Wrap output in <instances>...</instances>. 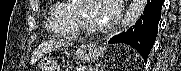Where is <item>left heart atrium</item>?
Returning <instances> with one entry per match:
<instances>
[{"mask_svg": "<svg viewBox=\"0 0 181 71\" xmlns=\"http://www.w3.org/2000/svg\"><path fill=\"white\" fill-rule=\"evenodd\" d=\"M105 6L103 8L102 20L104 23L112 21L119 11L118 0H104Z\"/></svg>", "mask_w": 181, "mask_h": 71, "instance_id": "obj_1", "label": "left heart atrium"}]
</instances>
